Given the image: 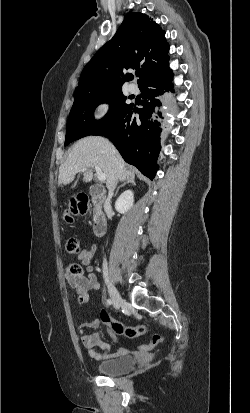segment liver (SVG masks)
<instances>
[{
  "mask_svg": "<svg viewBox=\"0 0 250 413\" xmlns=\"http://www.w3.org/2000/svg\"><path fill=\"white\" fill-rule=\"evenodd\" d=\"M98 166L106 176L108 189L117 182L126 180L134 174L126 169V164L109 140L100 136H88L76 142L66 161L59 168L58 184L72 182L82 168L83 181L93 179L92 168Z\"/></svg>",
  "mask_w": 250,
  "mask_h": 413,
  "instance_id": "1",
  "label": "liver"
}]
</instances>
